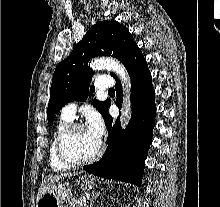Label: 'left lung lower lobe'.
Wrapping results in <instances>:
<instances>
[{
  "mask_svg": "<svg viewBox=\"0 0 220 207\" xmlns=\"http://www.w3.org/2000/svg\"><path fill=\"white\" fill-rule=\"evenodd\" d=\"M124 66L132 81L131 120L124 131L119 119L112 126V118L107 108L103 117L108 129L107 150L98 162L85 167L84 170L103 178L140 186L144 160L152 142V130L155 126V91L146 59L137 45ZM114 78L118 97L116 104L121 108L122 87L117 77Z\"/></svg>",
  "mask_w": 220,
  "mask_h": 207,
  "instance_id": "obj_1",
  "label": "left lung lower lobe"
}]
</instances>
